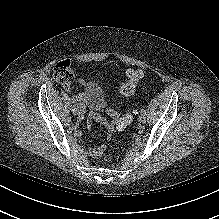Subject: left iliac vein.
Here are the masks:
<instances>
[{
	"label": "left iliac vein",
	"instance_id": "obj_1",
	"mask_svg": "<svg viewBox=\"0 0 219 219\" xmlns=\"http://www.w3.org/2000/svg\"><path fill=\"white\" fill-rule=\"evenodd\" d=\"M139 122L141 123V124H144L145 122H146V113H140V115H139Z\"/></svg>",
	"mask_w": 219,
	"mask_h": 219
}]
</instances>
